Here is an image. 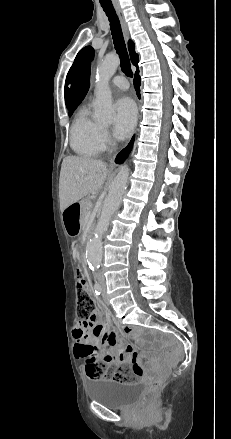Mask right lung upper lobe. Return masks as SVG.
<instances>
[{"mask_svg":"<svg viewBox=\"0 0 231 439\" xmlns=\"http://www.w3.org/2000/svg\"><path fill=\"white\" fill-rule=\"evenodd\" d=\"M128 48L130 52L131 61L133 65L137 67L138 55L135 53V46L132 41H129ZM89 85H90V64L85 68L82 76L76 83L72 91L71 99L68 101L65 100L66 106L69 107V110L75 109L81 103L86 93L88 92Z\"/></svg>","mask_w":231,"mask_h":439,"instance_id":"1","label":"right lung upper lobe"}]
</instances>
